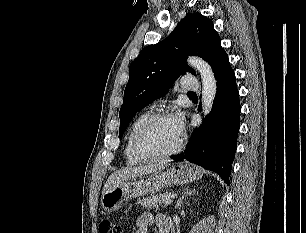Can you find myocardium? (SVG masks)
I'll return each instance as SVG.
<instances>
[{
	"label": "myocardium",
	"mask_w": 306,
	"mask_h": 233,
	"mask_svg": "<svg viewBox=\"0 0 306 233\" xmlns=\"http://www.w3.org/2000/svg\"><path fill=\"white\" fill-rule=\"evenodd\" d=\"M171 118L169 113L166 112H159V113H154L148 116L136 129L133 138H132V148L133 152L135 155L141 159H156V158H165V157H170L175 154H177L182 146H183V138L180 136L177 144L175 145L174 148L168 151L164 152H158V151H152L148 150L143 146V138L147 130L156 122Z\"/></svg>",
	"instance_id": "f54148a6"
}]
</instances>
